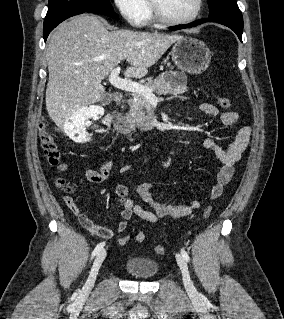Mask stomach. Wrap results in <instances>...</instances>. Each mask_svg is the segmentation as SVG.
Wrapping results in <instances>:
<instances>
[{"mask_svg":"<svg viewBox=\"0 0 284 319\" xmlns=\"http://www.w3.org/2000/svg\"><path fill=\"white\" fill-rule=\"evenodd\" d=\"M172 60L179 69L190 74H201L211 62V51L201 40L182 37L171 51Z\"/></svg>","mask_w":284,"mask_h":319,"instance_id":"1","label":"stomach"}]
</instances>
